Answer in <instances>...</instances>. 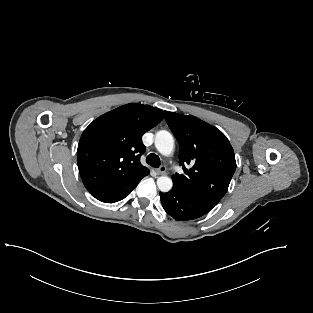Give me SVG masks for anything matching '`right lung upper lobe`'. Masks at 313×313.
<instances>
[{
  "label": "right lung upper lobe",
  "mask_w": 313,
  "mask_h": 313,
  "mask_svg": "<svg viewBox=\"0 0 313 313\" xmlns=\"http://www.w3.org/2000/svg\"><path fill=\"white\" fill-rule=\"evenodd\" d=\"M164 116L161 109L130 103L95 119L82 133L77 149L86 189L119 184L148 172L140 163L145 152L141 137Z\"/></svg>",
  "instance_id": "right-lung-upper-lobe-1"
}]
</instances>
